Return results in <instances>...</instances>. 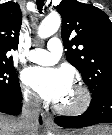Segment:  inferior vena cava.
<instances>
[{
	"mask_svg": "<svg viewBox=\"0 0 112 135\" xmlns=\"http://www.w3.org/2000/svg\"><path fill=\"white\" fill-rule=\"evenodd\" d=\"M40 113V100L38 98H26L19 126L22 130L21 135H36Z\"/></svg>",
	"mask_w": 112,
	"mask_h": 135,
	"instance_id": "602c4592",
	"label": "inferior vena cava"
}]
</instances>
